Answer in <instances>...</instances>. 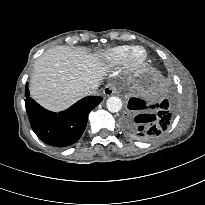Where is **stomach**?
<instances>
[{
  "mask_svg": "<svg viewBox=\"0 0 205 205\" xmlns=\"http://www.w3.org/2000/svg\"><path fill=\"white\" fill-rule=\"evenodd\" d=\"M153 83V78L150 72H144L140 75L137 82V88L140 90L148 89Z\"/></svg>",
  "mask_w": 205,
  "mask_h": 205,
  "instance_id": "1",
  "label": "stomach"
}]
</instances>
